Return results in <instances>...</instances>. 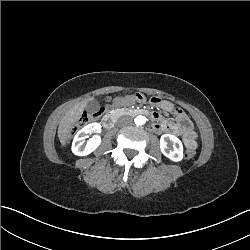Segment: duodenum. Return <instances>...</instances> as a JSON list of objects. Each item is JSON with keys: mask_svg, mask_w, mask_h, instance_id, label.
Listing matches in <instances>:
<instances>
[{"mask_svg": "<svg viewBox=\"0 0 250 250\" xmlns=\"http://www.w3.org/2000/svg\"><path fill=\"white\" fill-rule=\"evenodd\" d=\"M124 115H128L131 117H134L137 115L148 116L149 112L142 108H136V109H131V110H126L124 108L112 109L104 116L103 121H102L103 127L106 130L112 129L115 125V122Z\"/></svg>", "mask_w": 250, "mask_h": 250, "instance_id": "duodenum-1", "label": "duodenum"}]
</instances>
